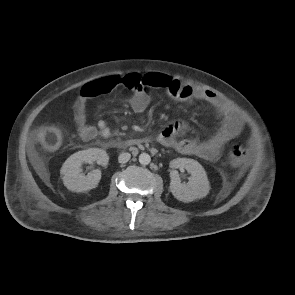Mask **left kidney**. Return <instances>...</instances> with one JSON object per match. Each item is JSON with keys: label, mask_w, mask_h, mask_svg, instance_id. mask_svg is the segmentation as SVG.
I'll return each instance as SVG.
<instances>
[{"label": "left kidney", "mask_w": 295, "mask_h": 295, "mask_svg": "<svg viewBox=\"0 0 295 295\" xmlns=\"http://www.w3.org/2000/svg\"><path fill=\"white\" fill-rule=\"evenodd\" d=\"M170 191L173 196L182 202H192L204 198L210 190L207 174L202 165L193 159L177 158L171 161ZM185 169L191 174L188 183H181L178 171Z\"/></svg>", "instance_id": "left-kidney-1"}]
</instances>
